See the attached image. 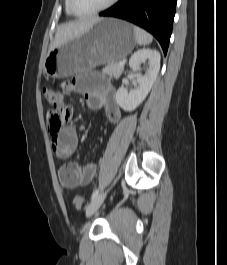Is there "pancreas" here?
Wrapping results in <instances>:
<instances>
[{"label":"pancreas","mask_w":227,"mask_h":265,"mask_svg":"<svg viewBox=\"0 0 227 265\" xmlns=\"http://www.w3.org/2000/svg\"><path fill=\"white\" fill-rule=\"evenodd\" d=\"M122 71L123 67L119 66V63L117 62L107 63V65L103 68L104 73L115 78H119Z\"/></svg>","instance_id":"cf45deb5"}]
</instances>
